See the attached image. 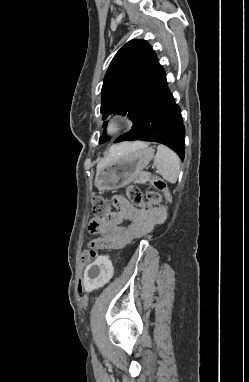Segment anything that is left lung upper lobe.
I'll return each mask as SVG.
<instances>
[{"mask_svg": "<svg viewBox=\"0 0 249 382\" xmlns=\"http://www.w3.org/2000/svg\"><path fill=\"white\" fill-rule=\"evenodd\" d=\"M165 79V71L148 43L143 40L127 42L114 56L104 78L101 104L103 120L113 113H128L135 124ZM107 139L104 132L100 142Z\"/></svg>", "mask_w": 249, "mask_h": 382, "instance_id": "5c2ea615", "label": "left lung upper lobe"}]
</instances>
